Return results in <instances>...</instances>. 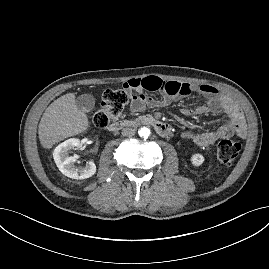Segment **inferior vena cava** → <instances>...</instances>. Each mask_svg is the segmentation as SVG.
<instances>
[{
    "label": "inferior vena cava",
    "instance_id": "602c4592",
    "mask_svg": "<svg viewBox=\"0 0 269 269\" xmlns=\"http://www.w3.org/2000/svg\"><path fill=\"white\" fill-rule=\"evenodd\" d=\"M122 135L126 137H132L135 135V130L131 127H125L122 130Z\"/></svg>",
    "mask_w": 269,
    "mask_h": 269
}]
</instances>
